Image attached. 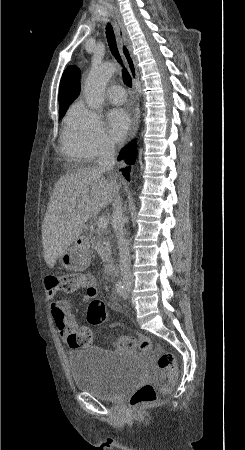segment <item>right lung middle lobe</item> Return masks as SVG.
Segmentation results:
<instances>
[{"label": "right lung middle lobe", "instance_id": "right-lung-middle-lobe-1", "mask_svg": "<svg viewBox=\"0 0 245 450\" xmlns=\"http://www.w3.org/2000/svg\"><path fill=\"white\" fill-rule=\"evenodd\" d=\"M67 107H68V106H65V107L59 109V116H60V117H62V116L65 114V112H66V110H67Z\"/></svg>", "mask_w": 245, "mask_h": 450}]
</instances>
